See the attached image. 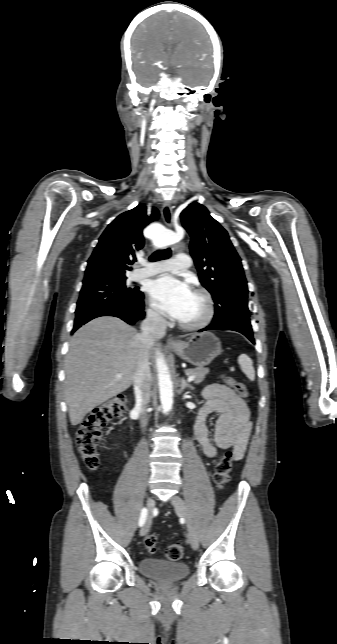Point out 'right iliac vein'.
<instances>
[{
	"label": "right iliac vein",
	"instance_id": "1",
	"mask_svg": "<svg viewBox=\"0 0 337 644\" xmlns=\"http://www.w3.org/2000/svg\"><path fill=\"white\" fill-rule=\"evenodd\" d=\"M146 504H147V508H148L149 512H151V511H152V509H153V507H154V500H153V498H152V497H148V498H147V503H146ZM150 525H151V516L149 515V516L147 517V520H146V522H145L144 526L142 527V529H141V531H140V535H141V536H144V535H146V534L148 533V531H149V529H150Z\"/></svg>",
	"mask_w": 337,
	"mask_h": 644
}]
</instances>
